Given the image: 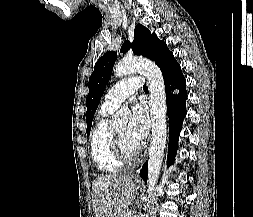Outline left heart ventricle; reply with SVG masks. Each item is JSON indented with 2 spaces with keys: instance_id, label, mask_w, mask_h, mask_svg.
I'll use <instances>...</instances> for the list:
<instances>
[{
  "instance_id": "b2bd125f",
  "label": "left heart ventricle",
  "mask_w": 253,
  "mask_h": 217,
  "mask_svg": "<svg viewBox=\"0 0 253 217\" xmlns=\"http://www.w3.org/2000/svg\"><path fill=\"white\" fill-rule=\"evenodd\" d=\"M115 130H116L117 134L123 140V143L128 150L132 151L138 147V145L134 141H132V139L129 137L127 124H123L121 126H118L115 128Z\"/></svg>"
}]
</instances>
